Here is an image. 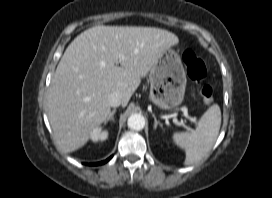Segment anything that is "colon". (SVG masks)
Masks as SVG:
<instances>
[{
  "label": "colon",
  "instance_id": "5ec220e1",
  "mask_svg": "<svg viewBox=\"0 0 272 198\" xmlns=\"http://www.w3.org/2000/svg\"><path fill=\"white\" fill-rule=\"evenodd\" d=\"M183 61L189 77L197 82H203L207 76V69L204 62L191 49L183 52ZM203 102L209 103L213 100V88L208 84H203L199 91Z\"/></svg>",
  "mask_w": 272,
  "mask_h": 198
}]
</instances>
